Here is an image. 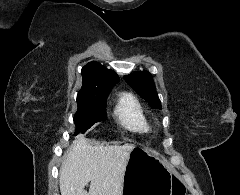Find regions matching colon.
<instances>
[{
	"mask_svg": "<svg viewBox=\"0 0 240 195\" xmlns=\"http://www.w3.org/2000/svg\"><path fill=\"white\" fill-rule=\"evenodd\" d=\"M173 195H188V190L184 186H174Z\"/></svg>",
	"mask_w": 240,
	"mask_h": 195,
	"instance_id": "colon-1",
	"label": "colon"
}]
</instances>
